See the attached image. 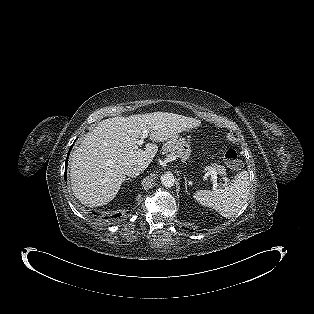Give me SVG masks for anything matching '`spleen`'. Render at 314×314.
<instances>
[{
  "instance_id": "obj_1",
  "label": "spleen",
  "mask_w": 314,
  "mask_h": 314,
  "mask_svg": "<svg viewBox=\"0 0 314 314\" xmlns=\"http://www.w3.org/2000/svg\"><path fill=\"white\" fill-rule=\"evenodd\" d=\"M249 192V174L247 171H241L229 185L213 190H198L194 193V199L223 217L230 218L244 206Z\"/></svg>"
}]
</instances>
